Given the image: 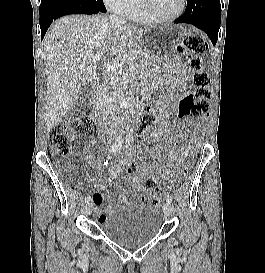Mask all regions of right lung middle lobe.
I'll list each match as a JSON object with an SVG mask.
<instances>
[{"label": "right lung middle lobe", "mask_w": 265, "mask_h": 273, "mask_svg": "<svg viewBox=\"0 0 265 273\" xmlns=\"http://www.w3.org/2000/svg\"><path fill=\"white\" fill-rule=\"evenodd\" d=\"M45 1H49V0H41V3ZM61 1L75 3L78 5H92L106 12V8L104 6L103 0H61Z\"/></svg>", "instance_id": "obj_1"}]
</instances>
